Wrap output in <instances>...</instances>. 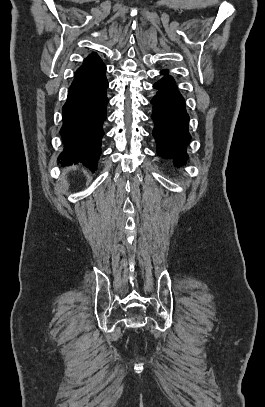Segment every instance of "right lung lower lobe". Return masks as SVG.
Instances as JSON below:
<instances>
[{
  "instance_id": "98d812e1",
  "label": "right lung lower lobe",
  "mask_w": 265,
  "mask_h": 407,
  "mask_svg": "<svg viewBox=\"0 0 265 407\" xmlns=\"http://www.w3.org/2000/svg\"><path fill=\"white\" fill-rule=\"evenodd\" d=\"M106 66L93 53L84 59L76 70L64 104L63 125L60 130L64 149L60 154L62 165L83 163L93 172L101 154V139L104 135L106 96L108 81Z\"/></svg>"
}]
</instances>
